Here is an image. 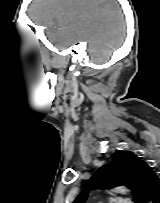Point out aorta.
<instances>
[{
	"instance_id": "obj_1",
	"label": "aorta",
	"mask_w": 160,
	"mask_h": 203,
	"mask_svg": "<svg viewBox=\"0 0 160 203\" xmlns=\"http://www.w3.org/2000/svg\"><path fill=\"white\" fill-rule=\"evenodd\" d=\"M116 191H117V192H123V193H124V192H126L127 190H126V189L119 188V189H117Z\"/></svg>"
}]
</instances>
